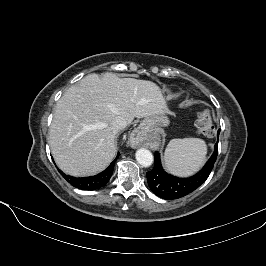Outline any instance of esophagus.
I'll list each match as a JSON object with an SVG mask.
<instances>
[{"instance_id": "1", "label": "esophagus", "mask_w": 266, "mask_h": 266, "mask_svg": "<svg viewBox=\"0 0 266 266\" xmlns=\"http://www.w3.org/2000/svg\"><path fill=\"white\" fill-rule=\"evenodd\" d=\"M146 132L143 127H138L132 131L129 136V144L131 147H138L145 140Z\"/></svg>"}]
</instances>
